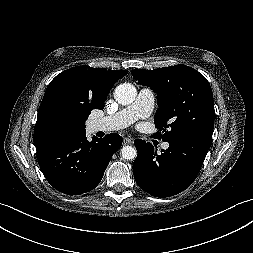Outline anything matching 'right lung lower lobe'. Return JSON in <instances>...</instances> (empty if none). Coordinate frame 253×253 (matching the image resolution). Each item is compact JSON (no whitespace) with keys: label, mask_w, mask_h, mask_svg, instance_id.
<instances>
[{"label":"right lung lower lobe","mask_w":253,"mask_h":253,"mask_svg":"<svg viewBox=\"0 0 253 253\" xmlns=\"http://www.w3.org/2000/svg\"><path fill=\"white\" fill-rule=\"evenodd\" d=\"M122 137L116 133L103 139L86 133L53 135L36 145L39 166L56 190L79 195L94 189L101 181L112 155L121 147Z\"/></svg>","instance_id":"1"}]
</instances>
